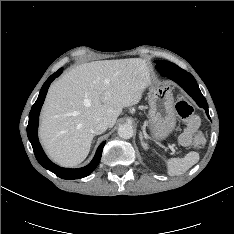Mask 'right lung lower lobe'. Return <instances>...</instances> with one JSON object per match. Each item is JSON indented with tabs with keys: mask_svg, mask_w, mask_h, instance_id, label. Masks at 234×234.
I'll return each mask as SVG.
<instances>
[{
	"mask_svg": "<svg viewBox=\"0 0 234 234\" xmlns=\"http://www.w3.org/2000/svg\"><path fill=\"white\" fill-rule=\"evenodd\" d=\"M62 68H60L57 72L52 74L46 82L43 84L39 96L32 106L31 112L29 113V122L27 126V135L29 138V141L31 142V145L33 147V151L35 154V157L37 161L47 170L55 173L58 177L62 179H79L88 176L99 164V161L101 159L102 150L106 143V141H103L100 146L98 147L96 154L93 158V160L90 162L89 165L78 168V169H67V168H61L54 163H52L47 156L45 155L37 135L38 130V122H39V113L41 110V107L43 105L45 96L47 94L48 88L51 84V82L61 74Z\"/></svg>",
	"mask_w": 234,
	"mask_h": 234,
	"instance_id": "right-lung-lower-lobe-1",
	"label": "right lung lower lobe"
}]
</instances>
